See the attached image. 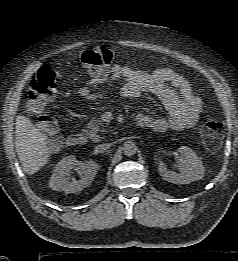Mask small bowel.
<instances>
[{"instance_id":"c3829d8e","label":"small bowel","mask_w":238,"mask_h":261,"mask_svg":"<svg viewBox=\"0 0 238 261\" xmlns=\"http://www.w3.org/2000/svg\"><path fill=\"white\" fill-rule=\"evenodd\" d=\"M122 81L120 95L136 99L143 94H152L160 99L168 117H150L139 115L140 124L154 131L164 132L168 129L183 130L194 126L202 109L201 98L193 92L190 83L170 68H161L154 72L133 69L129 66L114 65L104 76L92 77L79 89V96L93 101L106 97L99 91L102 86L110 87Z\"/></svg>"}]
</instances>
